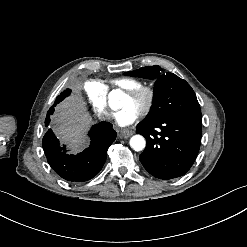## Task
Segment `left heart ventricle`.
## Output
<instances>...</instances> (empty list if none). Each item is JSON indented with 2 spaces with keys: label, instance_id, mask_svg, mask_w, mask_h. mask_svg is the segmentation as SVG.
Listing matches in <instances>:
<instances>
[{
  "label": "left heart ventricle",
  "instance_id": "obj_1",
  "mask_svg": "<svg viewBox=\"0 0 247 247\" xmlns=\"http://www.w3.org/2000/svg\"><path fill=\"white\" fill-rule=\"evenodd\" d=\"M145 103V99L142 97L139 100H132L130 98H128L126 100V104L125 105H132V104H136L137 106H139L141 109L144 106Z\"/></svg>",
  "mask_w": 247,
  "mask_h": 247
}]
</instances>
